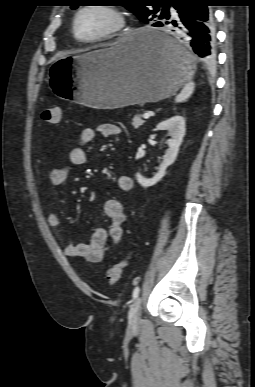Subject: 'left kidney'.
I'll list each match as a JSON object with an SVG mask.
<instances>
[{"mask_svg": "<svg viewBox=\"0 0 255 387\" xmlns=\"http://www.w3.org/2000/svg\"><path fill=\"white\" fill-rule=\"evenodd\" d=\"M156 130H168L171 138L167 141L168 149L166 150L164 159L158 168V172L149 179L145 178L140 173H136L137 182L144 188L153 186L160 181L164 177L167 167L174 163L185 135V119L180 115H175L159 123Z\"/></svg>", "mask_w": 255, "mask_h": 387, "instance_id": "left-kidney-1", "label": "left kidney"}]
</instances>
